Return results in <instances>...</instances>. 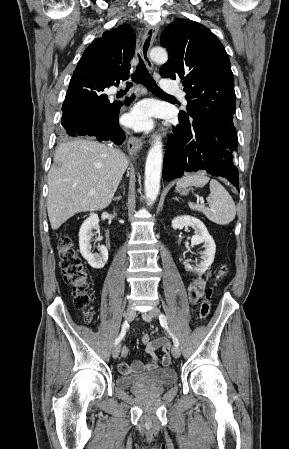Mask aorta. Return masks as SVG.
<instances>
[{"label": "aorta", "instance_id": "aorta-1", "mask_svg": "<svg viewBox=\"0 0 289 449\" xmlns=\"http://www.w3.org/2000/svg\"><path fill=\"white\" fill-rule=\"evenodd\" d=\"M150 58L159 64H164L168 60L167 51L160 47H155L150 51ZM163 161V145L158 138L150 148L145 165V194L149 204H153L160 191V178Z\"/></svg>", "mask_w": 289, "mask_h": 449}]
</instances>
